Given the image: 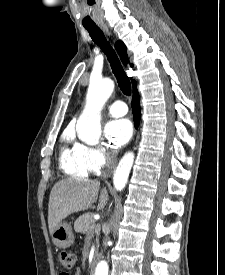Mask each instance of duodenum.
Listing matches in <instances>:
<instances>
[{
    "mask_svg": "<svg viewBox=\"0 0 225 275\" xmlns=\"http://www.w3.org/2000/svg\"><path fill=\"white\" fill-rule=\"evenodd\" d=\"M95 265H96V258H93L92 262H91V266H90V274L93 275L94 269H95Z\"/></svg>",
    "mask_w": 225,
    "mask_h": 275,
    "instance_id": "1",
    "label": "duodenum"
}]
</instances>
